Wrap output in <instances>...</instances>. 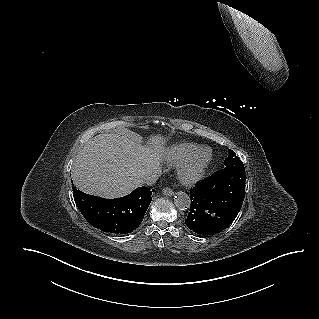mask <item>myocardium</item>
<instances>
[{
	"label": "myocardium",
	"instance_id": "f54148a6",
	"mask_svg": "<svg viewBox=\"0 0 319 319\" xmlns=\"http://www.w3.org/2000/svg\"><path fill=\"white\" fill-rule=\"evenodd\" d=\"M212 158V152L208 147H200L182 164L179 171V180L181 183L186 186L198 184L204 178Z\"/></svg>",
	"mask_w": 319,
	"mask_h": 319
}]
</instances>
